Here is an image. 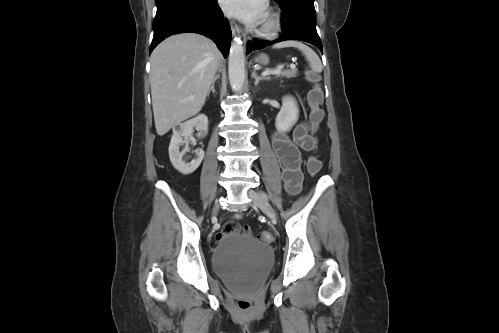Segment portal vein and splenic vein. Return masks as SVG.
I'll list each match as a JSON object with an SVG mask.
<instances>
[{"mask_svg": "<svg viewBox=\"0 0 499 333\" xmlns=\"http://www.w3.org/2000/svg\"><path fill=\"white\" fill-rule=\"evenodd\" d=\"M290 67H291V68H294V67H295V65H294V64H291V65H290ZM282 69H283V65H279V66H277V67H276V69H274V70H266V71L262 72V75H263V76H267V75H270V74H278V73H280V72L282 71ZM189 99H190V100H193V99H194V97H193V96H190V97H189Z\"/></svg>", "mask_w": 499, "mask_h": 333, "instance_id": "18ae733b", "label": "portal vein and splenic vein"}]
</instances>
